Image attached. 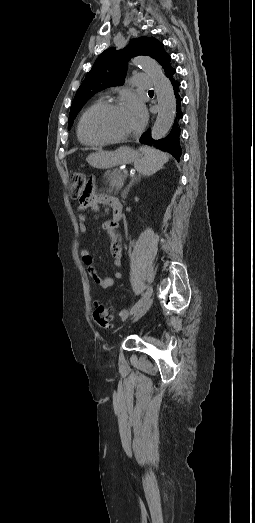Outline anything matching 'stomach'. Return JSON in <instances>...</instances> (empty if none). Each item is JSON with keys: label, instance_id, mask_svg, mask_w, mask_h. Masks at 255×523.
I'll list each match as a JSON object with an SVG mask.
<instances>
[{"label": "stomach", "instance_id": "1", "mask_svg": "<svg viewBox=\"0 0 255 523\" xmlns=\"http://www.w3.org/2000/svg\"><path fill=\"white\" fill-rule=\"evenodd\" d=\"M140 154L127 148V146H121L118 150L114 151H94L90 154L88 164L90 167H98L100 170H107V168H114V166H123V164H132Z\"/></svg>", "mask_w": 255, "mask_h": 523}]
</instances>
